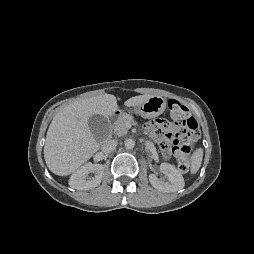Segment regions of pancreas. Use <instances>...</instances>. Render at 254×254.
<instances>
[{"mask_svg":"<svg viewBox=\"0 0 254 254\" xmlns=\"http://www.w3.org/2000/svg\"><path fill=\"white\" fill-rule=\"evenodd\" d=\"M133 121V116L129 114H122L119 116L113 125L114 134L117 136L125 135L128 131V124L132 123Z\"/></svg>","mask_w":254,"mask_h":254,"instance_id":"cf45deb5","label":"pancreas"}]
</instances>
